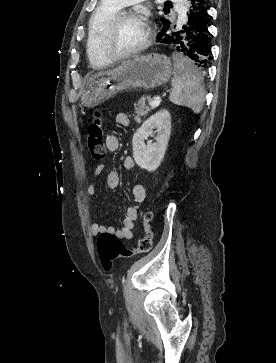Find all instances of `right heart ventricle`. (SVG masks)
<instances>
[{"label":"right heart ventricle","instance_id":"e07e8e85","mask_svg":"<svg viewBox=\"0 0 276 363\" xmlns=\"http://www.w3.org/2000/svg\"><path fill=\"white\" fill-rule=\"evenodd\" d=\"M120 7L110 0H102L90 20L87 54L91 65L104 68L111 64L102 53L99 44L101 30L107 22L119 11Z\"/></svg>","mask_w":276,"mask_h":363}]
</instances>
